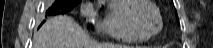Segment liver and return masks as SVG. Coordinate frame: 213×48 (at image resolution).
<instances>
[{"label": "liver", "instance_id": "1", "mask_svg": "<svg viewBox=\"0 0 213 48\" xmlns=\"http://www.w3.org/2000/svg\"><path fill=\"white\" fill-rule=\"evenodd\" d=\"M33 48H130L126 45L99 44L68 16L48 19L33 36Z\"/></svg>", "mask_w": 213, "mask_h": 48}]
</instances>
